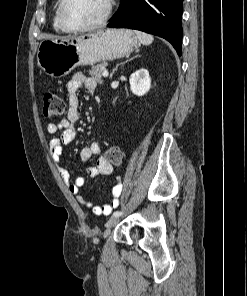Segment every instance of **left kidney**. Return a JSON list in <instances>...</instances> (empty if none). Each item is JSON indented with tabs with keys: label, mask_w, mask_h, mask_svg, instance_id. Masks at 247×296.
I'll use <instances>...</instances> for the list:
<instances>
[{
	"label": "left kidney",
	"mask_w": 247,
	"mask_h": 296,
	"mask_svg": "<svg viewBox=\"0 0 247 296\" xmlns=\"http://www.w3.org/2000/svg\"><path fill=\"white\" fill-rule=\"evenodd\" d=\"M129 82L132 93L137 96L145 95L151 88V78L146 69H140L133 73Z\"/></svg>",
	"instance_id": "1"
}]
</instances>
